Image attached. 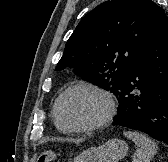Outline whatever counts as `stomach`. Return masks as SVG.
<instances>
[{"label":"stomach","mask_w":168,"mask_h":162,"mask_svg":"<svg viewBox=\"0 0 168 162\" xmlns=\"http://www.w3.org/2000/svg\"><path fill=\"white\" fill-rule=\"evenodd\" d=\"M127 152L128 146L123 140L110 139L99 147L85 150L73 162H118Z\"/></svg>","instance_id":"0dacf381"}]
</instances>
